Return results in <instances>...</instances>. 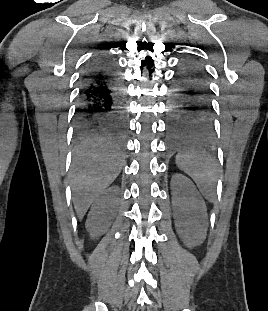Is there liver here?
<instances>
[{"label": "liver", "mask_w": 268, "mask_h": 311, "mask_svg": "<svg viewBox=\"0 0 268 311\" xmlns=\"http://www.w3.org/2000/svg\"><path fill=\"white\" fill-rule=\"evenodd\" d=\"M121 156L109 145L76 152L71 174L73 203L81 220L93 201L116 179Z\"/></svg>", "instance_id": "6515ba94"}]
</instances>
